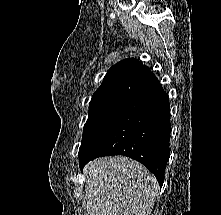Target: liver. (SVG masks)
I'll use <instances>...</instances> for the list:
<instances>
[{
	"label": "liver",
	"mask_w": 221,
	"mask_h": 215,
	"mask_svg": "<svg viewBox=\"0 0 221 215\" xmlns=\"http://www.w3.org/2000/svg\"><path fill=\"white\" fill-rule=\"evenodd\" d=\"M86 215H150L159 185L145 166L125 156L99 158L84 168Z\"/></svg>",
	"instance_id": "1"
}]
</instances>
